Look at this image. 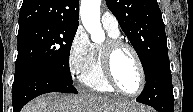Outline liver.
Masks as SVG:
<instances>
[{"label": "liver", "mask_w": 193, "mask_h": 112, "mask_svg": "<svg viewBox=\"0 0 193 112\" xmlns=\"http://www.w3.org/2000/svg\"><path fill=\"white\" fill-rule=\"evenodd\" d=\"M139 107L140 104L132 101L89 94L48 93L29 102L21 112H127Z\"/></svg>", "instance_id": "1"}]
</instances>
